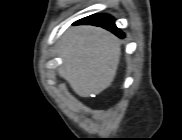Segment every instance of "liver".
<instances>
[{
  "instance_id": "1",
  "label": "liver",
  "mask_w": 182,
  "mask_h": 140,
  "mask_svg": "<svg viewBox=\"0 0 182 140\" xmlns=\"http://www.w3.org/2000/svg\"><path fill=\"white\" fill-rule=\"evenodd\" d=\"M60 56L59 76L77 95L89 97L101 93L113 82L120 45L118 39L104 29L77 26L67 30L62 37Z\"/></svg>"
}]
</instances>
